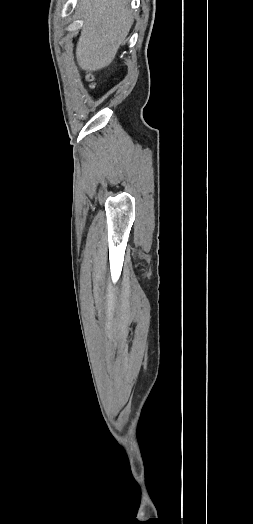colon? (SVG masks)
Wrapping results in <instances>:
<instances>
[{
    "label": "colon",
    "instance_id": "5ec220e1",
    "mask_svg": "<svg viewBox=\"0 0 253 524\" xmlns=\"http://www.w3.org/2000/svg\"><path fill=\"white\" fill-rule=\"evenodd\" d=\"M87 81L89 82L91 87L95 86V79H94V77L92 75H88L87 76Z\"/></svg>",
    "mask_w": 253,
    "mask_h": 524
}]
</instances>
